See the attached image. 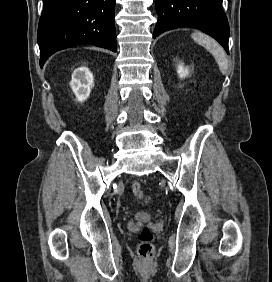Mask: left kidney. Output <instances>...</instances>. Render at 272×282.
I'll list each match as a JSON object with an SVG mask.
<instances>
[{"mask_svg":"<svg viewBox=\"0 0 272 282\" xmlns=\"http://www.w3.org/2000/svg\"><path fill=\"white\" fill-rule=\"evenodd\" d=\"M189 68L185 67L183 63H179L177 65V73L179 75V78H185L186 76L189 75Z\"/></svg>","mask_w":272,"mask_h":282,"instance_id":"1","label":"left kidney"}]
</instances>
